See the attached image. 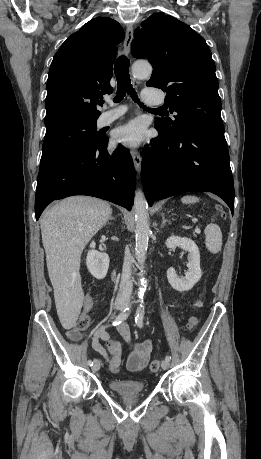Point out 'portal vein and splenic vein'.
Wrapping results in <instances>:
<instances>
[{
    "instance_id": "obj_1",
    "label": "portal vein and splenic vein",
    "mask_w": 261,
    "mask_h": 459,
    "mask_svg": "<svg viewBox=\"0 0 261 459\" xmlns=\"http://www.w3.org/2000/svg\"><path fill=\"white\" fill-rule=\"evenodd\" d=\"M195 232H196L197 234H199V233L201 232V230H200L199 228H195Z\"/></svg>"
}]
</instances>
